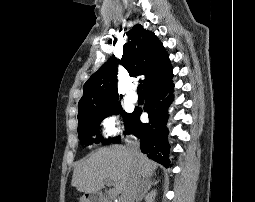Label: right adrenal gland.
<instances>
[{
  "mask_svg": "<svg viewBox=\"0 0 255 202\" xmlns=\"http://www.w3.org/2000/svg\"><path fill=\"white\" fill-rule=\"evenodd\" d=\"M144 182H145V185H146V190H145V193H144V195H145V194L148 193V191L151 189V187H152V186H156V185L158 184L159 181L154 180V179L152 178V176H150V177H146V178L144 179ZM142 199H143V197H141L140 199H138L136 202H140Z\"/></svg>",
  "mask_w": 255,
  "mask_h": 202,
  "instance_id": "obj_1",
  "label": "right adrenal gland"
}]
</instances>
